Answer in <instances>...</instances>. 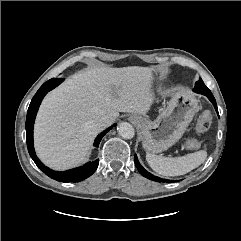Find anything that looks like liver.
<instances>
[{"mask_svg": "<svg viewBox=\"0 0 241 241\" xmlns=\"http://www.w3.org/2000/svg\"><path fill=\"white\" fill-rule=\"evenodd\" d=\"M152 68L93 67L75 73L44 98L35 122V149L41 161L56 170L88 159L100 129L94 121L119 112L145 115L152 104Z\"/></svg>", "mask_w": 241, "mask_h": 241, "instance_id": "liver-1", "label": "liver"}]
</instances>
